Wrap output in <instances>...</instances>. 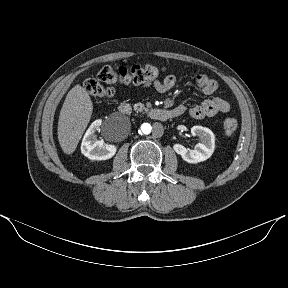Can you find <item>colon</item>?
Returning a JSON list of instances; mask_svg holds the SVG:
<instances>
[{
    "label": "colon",
    "instance_id": "1",
    "mask_svg": "<svg viewBox=\"0 0 288 288\" xmlns=\"http://www.w3.org/2000/svg\"><path fill=\"white\" fill-rule=\"evenodd\" d=\"M161 72V68L152 64L137 65L131 68L119 67L118 69L106 66L98 72L97 79H86L83 86L92 96L110 98L114 95V90L102 85L101 82L106 84H144L156 80ZM237 127L238 122L235 118L227 117L224 119L223 130L226 135H232Z\"/></svg>",
    "mask_w": 288,
    "mask_h": 288
}]
</instances>
